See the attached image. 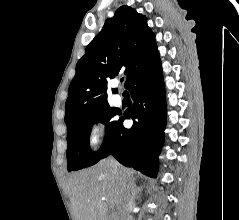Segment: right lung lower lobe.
<instances>
[{
    "mask_svg": "<svg viewBox=\"0 0 239 220\" xmlns=\"http://www.w3.org/2000/svg\"><path fill=\"white\" fill-rule=\"evenodd\" d=\"M127 89L134 103L118 120L100 160L112 154L121 164L155 177L166 125L161 61L135 77ZM125 118L134 121L130 129L123 126Z\"/></svg>",
    "mask_w": 239,
    "mask_h": 220,
    "instance_id": "obj_1",
    "label": "right lung lower lobe"
}]
</instances>
